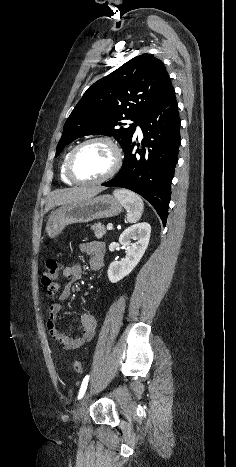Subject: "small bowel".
Segmentation results:
<instances>
[{
	"instance_id": "small-bowel-1",
	"label": "small bowel",
	"mask_w": 236,
	"mask_h": 467,
	"mask_svg": "<svg viewBox=\"0 0 236 467\" xmlns=\"http://www.w3.org/2000/svg\"><path fill=\"white\" fill-rule=\"evenodd\" d=\"M80 251L89 257V266L92 271H99L104 265L105 245L103 242L92 241L82 243ZM82 267L79 264L66 266L62 270L61 277L67 283L62 288L60 283H55L47 290L49 297L58 294L59 299H66L72 289V284L81 279ZM61 310V306L57 303L48 305V318L46 320V328L50 338L61 345L66 350H76L88 342L94 335L96 328V319L89 311H81L79 314V330L80 337L72 338L62 333L57 326L56 319Z\"/></svg>"
}]
</instances>
